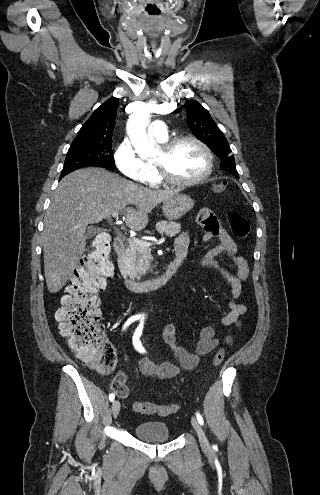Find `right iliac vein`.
Wrapping results in <instances>:
<instances>
[{"label":"right iliac vein","instance_id":"obj_1","mask_svg":"<svg viewBox=\"0 0 320 495\" xmlns=\"http://www.w3.org/2000/svg\"><path fill=\"white\" fill-rule=\"evenodd\" d=\"M120 408H121L120 402L118 400H115L112 404V413L114 418L118 416L120 412Z\"/></svg>","mask_w":320,"mask_h":495}]
</instances>
